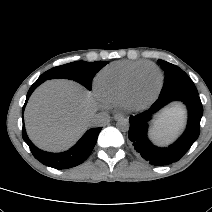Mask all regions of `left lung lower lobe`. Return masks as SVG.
I'll return each mask as SVG.
<instances>
[{
    "mask_svg": "<svg viewBox=\"0 0 212 212\" xmlns=\"http://www.w3.org/2000/svg\"><path fill=\"white\" fill-rule=\"evenodd\" d=\"M172 101L183 102L188 109V123L180 138L167 148L153 145L148 137V123L158 110ZM203 107L198 94L191 92H175L159 96L146 111L129 118L128 138L134 149L151 165L164 166L177 162L189 150L200 134V121Z\"/></svg>",
    "mask_w": 212,
    "mask_h": 212,
    "instance_id": "0a47b994",
    "label": "left lung lower lobe"
}]
</instances>
